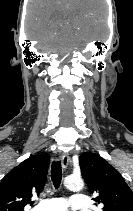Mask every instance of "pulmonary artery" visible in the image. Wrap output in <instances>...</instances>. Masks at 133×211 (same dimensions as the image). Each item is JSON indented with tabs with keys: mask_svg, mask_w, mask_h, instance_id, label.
<instances>
[{
	"mask_svg": "<svg viewBox=\"0 0 133 211\" xmlns=\"http://www.w3.org/2000/svg\"><path fill=\"white\" fill-rule=\"evenodd\" d=\"M73 210L87 211L89 207L88 198L83 194H73L69 201L64 198L43 199L36 205L32 211H67Z\"/></svg>",
	"mask_w": 133,
	"mask_h": 211,
	"instance_id": "obj_1",
	"label": "pulmonary artery"
}]
</instances>
